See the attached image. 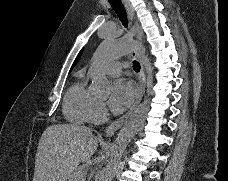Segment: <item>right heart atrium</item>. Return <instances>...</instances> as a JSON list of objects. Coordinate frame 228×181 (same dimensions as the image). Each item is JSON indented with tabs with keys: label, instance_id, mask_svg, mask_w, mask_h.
Instances as JSON below:
<instances>
[{
	"label": "right heart atrium",
	"instance_id": "d8ad5b80",
	"mask_svg": "<svg viewBox=\"0 0 228 181\" xmlns=\"http://www.w3.org/2000/svg\"><path fill=\"white\" fill-rule=\"evenodd\" d=\"M106 116V107L102 100H96L90 120L94 123H100Z\"/></svg>",
	"mask_w": 228,
	"mask_h": 181
}]
</instances>
